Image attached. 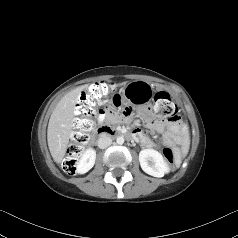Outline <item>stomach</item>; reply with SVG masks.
Instances as JSON below:
<instances>
[{
    "label": "stomach",
    "instance_id": "stomach-1",
    "mask_svg": "<svg viewBox=\"0 0 238 238\" xmlns=\"http://www.w3.org/2000/svg\"><path fill=\"white\" fill-rule=\"evenodd\" d=\"M153 96V87L145 81H132L125 85L123 91L117 93L112 99L116 108H121L129 101L133 103L149 102Z\"/></svg>",
    "mask_w": 238,
    "mask_h": 238
}]
</instances>
